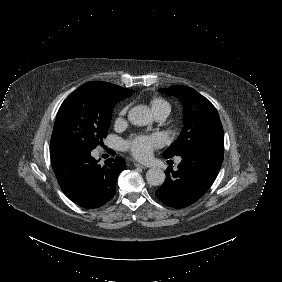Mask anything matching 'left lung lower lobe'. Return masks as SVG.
I'll list each match as a JSON object with an SVG mask.
<instances>
[{
	"instance_id": "obj_1",
	"label": "left lung lower lobe",
	"mask_w": 282,
	"mask_h": 282,
	"mask_svg": "<svg viewBox=\"0 0 282 282\" xmlns=\"http://www.w3.org/2000/svg\"><path fill=\"white\" fill-rule=\"evenodd\" d=\"M223 154L222 144H202L182 153L178 170L168 167L166 181L156 191V196L173 208L193 204L213 184L221 168Z\"/></svg>"
}]
</instances>
